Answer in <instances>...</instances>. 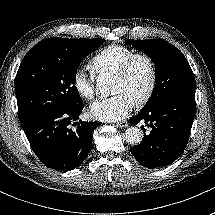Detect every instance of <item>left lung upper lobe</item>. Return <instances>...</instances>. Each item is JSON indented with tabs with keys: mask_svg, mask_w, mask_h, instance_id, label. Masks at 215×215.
Here are the masks:
<instances>
[{
	"mask_svg": "<svg viewBox=\"0 0 215 215\" xmlns=\"http://www.w3.org/2000/svg\"><path fill=\"white\" fill-rule=\"evenodd\" d=\"M127 45L145 52L155 63L156 86L141 111L148 110L163 99L195 89V77L192 69L175 46L163 39L125 40Z\"/></svg>",
	"mask_w": 215,
	"mask_h": 215,
	"instance_id": "5c2ea615",
	"label": "left lung upper lobe"
}]
</instances>
